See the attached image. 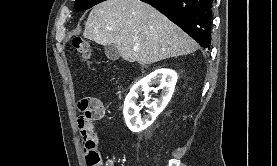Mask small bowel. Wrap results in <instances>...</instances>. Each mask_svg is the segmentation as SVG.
<instances>
[{
	"label": "small bowel",
	"mask_w": 277,
	"mask_h": 166,
	"mask_svg": "<svg viewBox=\"0 0 277 166\" xmlns=\"http://www.w3.org/2000/svg\"><path fill=\"white\" fill-rule=\"evenodd\" d=\"M78 107L79 110L82 112L77 119L79 128H81L82 119H86L87 113L90 114L89 122L91 123V125L93 121L102 119L106 113L104 104L96 98L83 99L79 102ZM100 141L101 137L97 133H95L93 141H90L88 138L84 137V151L86 154V161L89 166H91L89 162L91 155H93L94 153H98V146Z\"/></svg>",
	"instance_id": "small-bowel-1"
}]
</instances>
